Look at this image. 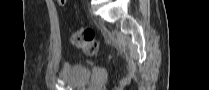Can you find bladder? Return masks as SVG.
<instances>
[{
  "label": "bladder",
  "mask_w": 209,
  "mask_h": 90,
  "mask_svg": "<svg viewBox=\"0 0 209 90\" xmlns=\"http://www.w3.org/2000/svg\"><path fill=\"white\" fill-rule=\"evenodd\" d=\"M60 75L63 80L75 85H85L90 80L89 68L80 63L63 62Z\"/></svg>",
  "instance_id": "obj_1"
}]
</instances>
